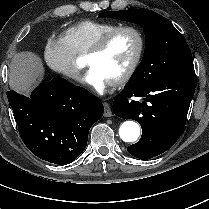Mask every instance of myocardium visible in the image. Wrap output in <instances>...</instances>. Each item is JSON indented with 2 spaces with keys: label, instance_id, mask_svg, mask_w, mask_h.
<instances>
[{
  "label": "myocardium",
  "instance_id": "f54148a6",
  "mask_svg": "<svg viewBox=\"0 0 209 209\" xmlns=\"http://www.w3.org/2000/svg\"><path fill=\"white\" fill-rule=\"evenodd\" d=\"M122 31H130L135 34L138 41V48L132 62L124 74L113 82L114 85H123L127 83L135 74L145 51V37L142 31L133 25L116 26L106 32L86 53L85 58L101 54L110 43L113 36Z\"/></svg>",
  "mask_w": 209,
  "mask_h": 209
}]
</instances>
